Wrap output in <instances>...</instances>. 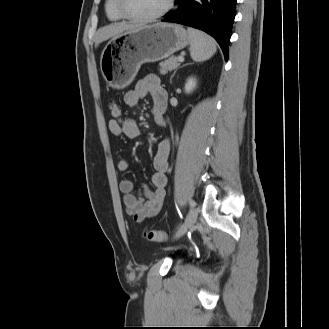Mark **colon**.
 <instances>
[{"label":"colon","instance_id":"5ec220e1","mask_svg":"<svg viewBox=\"0 0 329 329\" xmlns=\"http://www.w3.org/2000/svg\"><path fill=\"white\" fill-rule=\"evenodd\" d=\"M111 115L113 118H119L121 116V107L116 101H111L109 105ZM145 239L153 242L166 241L168 234L164 230L149 229L144 232Z\"/></svg>","mask_w":329,"mask_h":329}]
</instances>
